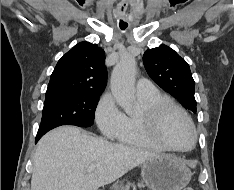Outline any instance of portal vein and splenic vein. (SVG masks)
<instances>
[{"label": "portal vein and splenic vein", "instance_id": "obj_1", "mask_svg": "<svg viewBox=\"0 0 234 190\" xmlns=\"http://www.w3.org/2000/svg\"><path fill=\"white\" fill-rule=\"evenodd\" d=\"M96 168V165H90L88 168H87V172L90 173L92 171H94Z\"/></svg>", "mask_w": 234, "mask_h": 190}]
</instances>
